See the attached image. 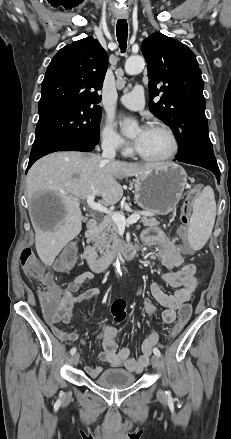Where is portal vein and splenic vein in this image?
Returning <instances> with one entry per match:
<instances>
[{"label": "portal vein and splenic vein", "mask_w": 231, "mask_h": 439, "mask_svg": "<svg viewBox=\"0 0 231 439\" xmlns=\"http://www.w3.org/2000/svg\"><path fill=\"white\" fill-rule=\"evenodd\" d=\"M94 199V194H91L87 197L88 206L94 211L111 216L112 220L118 227H125L127 224H134L140 219V214H132L126 219L125 216L117 212L109 211L106 206L102 205L101 203L95 202Z\"/></svg>", "instance_id": "1"}]
</instances>
